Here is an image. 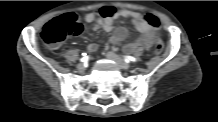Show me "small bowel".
I'll use <instances>...</instances> for the list:
<instances>
[{
    "label": "small bowel",
    "mask_w": 218,
    "mask_h": 122,
    "mask_svg": "<svg viewBox=\"0 0 218 122\" xmlns=\"http://www.w3.org/2000/svg\"><path fill=\"white\" fill-rule=\"evenodd\" d=\"M127 18L130 19L137 31L140 32V36L133 42L125 46L127 52L133 53L139 49H151L157 40H159L158 27H154L147 21L141 13L131 11L127 9L117 10L112 6H103L98 12H89L85 15L84 19L88 23L93 24V30L103 28L106 32H112L113 34L109 40L111 45L117 44L123 41L127 36V30L124 27H118L114 30V22ZM98 47L96 44H89L87 51L89 53H95Z\"/></svg>",
    "instance_id": "c3829d8e"
}]
</instances>
